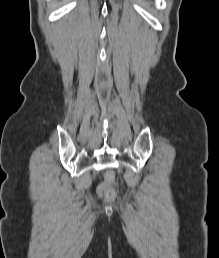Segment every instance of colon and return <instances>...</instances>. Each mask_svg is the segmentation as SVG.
<instances>
[{
  "mask_svg": "<svg viewBox=\"0 0 219 258\" xmlns=\"http://www.w3.org/2000/svg\"><path fill=\"white\" fill-rule=\"evenodd\" d=\"M116 184L115 174L112 170L105 175V182L100 186V192L109 200L115 198L114 186Z\"/></svg>",
  "mask_w": 219,
  "mask_h": 258,
  "instance_id": "1",
  "label": "colon"
}]
</instances>
